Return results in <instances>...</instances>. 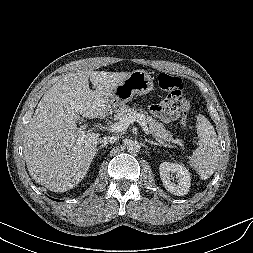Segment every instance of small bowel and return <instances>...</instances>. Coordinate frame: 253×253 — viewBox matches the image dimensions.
I'll return each mask as SVG.
<instances>
[{"instance_id": "1", "label": "small bowel", "mask_w": 253, "mask_h": 253, "mask_svg": "<svg viewBox=\"0 0 253 253\" xmlns=\"http://www.w3.org/2000/svg\"><path fill=\"white\" fill-rule=\"evenodd\" d=\"M175 101V98L168 96L161 103L152 105L150 111L163 122H170L182 114L180 107L175 106Z\"/></svg>"}]
</instances>
